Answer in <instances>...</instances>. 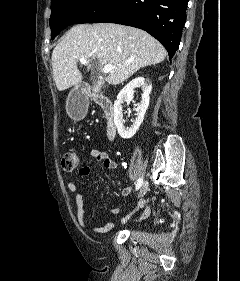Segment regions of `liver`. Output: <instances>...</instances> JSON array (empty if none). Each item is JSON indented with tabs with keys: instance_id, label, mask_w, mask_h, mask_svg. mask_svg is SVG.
Returning <instances> with one entry per match:
<instances>
[{
	"instance_id": "6515ba94",
	"label": "liver",
	"mask_w": 240,
	"mask_h": 281,
	"mask_svg": "<svg viewBox=\"0 0 240 281\" xmlns=\"http://www.w3.org/2000/svg\"><path fill=\"white\" fill-rule=\"evenodd\" d=\"M166 55L161 43L141 29L111 23L79 24L53 50V79L59 91L80 83L83 75L77 63L81 56H87L101 66H114L106 81L118 85L140 68L161 63ZM90 68L88 63L87 71Z\"/></svg>"
}]
</instances>
